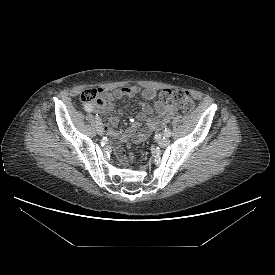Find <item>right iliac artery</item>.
I'll use <instances>...</instances> for the list:
<instances>
[{"instance_id": "82829eb1", "label": "right iliac artery", "mask_w": 275, "mask_h": 275, "mask_svg": "<svg viewBox=\"0 0 275 275\" xmlns=\"http://www.w3.org/2000/svg\"><path fill=\"white\" fill-rule=\"evenodd\" d=\"M84 109H85V111L86 112H93V107L90 105V104H86L85 106H84ZM98 116V114H96V117Z\"/></svg>"}]
</instances>
